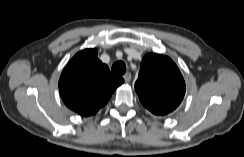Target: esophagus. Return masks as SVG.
Masks as SVG:
<instances>
[{
    "instance_id": "esophagus-1",
    "label": "esophagus",
    "mask_w": 244,
    "mask_h": 157,
    "mask_svg": "<svg viewBox=\"0 0 244 157\" xmlns=\"http://www.w3.org/2000/svg\"><path fill=\"white\" fill-rule=\"evenodd\" d=\"M123 78L125 80V82H129L131 80V73L127 72L123 75Z\"/></svg>"
}]
</instances>
